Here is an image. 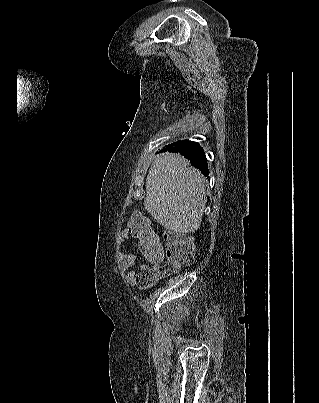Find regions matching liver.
Wrapping results in <instances>:
<instances>
[{
    "label": "liver",
    "mask_w": 319,
    "mask_h": 403,
    "mask_svg": "<svg viewBox=\"0 0 319 403\" xmlns=\"http://www.w3.org/2000/svg\"><path fill=\"white\" fill-rule=\"evenodd\" d=\"M205 178L179 154L158 155L146 178L144 207L164 228L195 232L206 205Z\"/></svg>",
    "instance_id": "6515ba94"
}]
</instances>
